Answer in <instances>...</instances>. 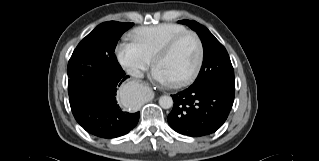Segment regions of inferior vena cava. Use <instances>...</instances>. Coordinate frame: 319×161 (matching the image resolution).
<instances>
[{
    "mask_svg": "<svg viewBox=\"0 0 319 161\" xmlns=\"http://www.w3.org/2000/svg\"><path fill=\"white\" fill-rule=\"evenodd\" d=\"M127 72L129 75L136 77V78L143 77V73L137 68H129V69H127Z\"/></svg>",
    "mask_w": 319,
    "mask_h": 161,
    "instance_id": "602c4592",
    "label": "inferior vena cava"
}]
</instances>
